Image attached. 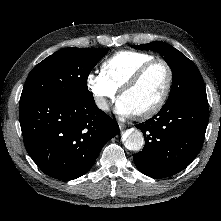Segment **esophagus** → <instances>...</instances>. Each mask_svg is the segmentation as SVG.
Segmentation results:
<instances>
[{
  "label": "esophagus",
  "instance_id": "34e87169",
  "mask_svg": "<svg viewBox=\"0 0 221 221\" xmlns=\"http://www.w3.org/2000/svg\"><path fill=\"white\" fill-rule=\"evenodd\" d=\"M119 128L122 131V130H124L126 128V126L124 124H122V123H119Z\"/></svg>",
  "mask_w": 221,
  "mask_h": 221
}]
</instances>
